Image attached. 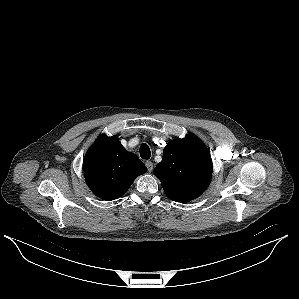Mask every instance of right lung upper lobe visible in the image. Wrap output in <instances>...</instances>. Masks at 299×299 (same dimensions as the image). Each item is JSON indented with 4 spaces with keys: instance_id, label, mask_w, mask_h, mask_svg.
Instances as JSON below:
<instances>
[{
    "instance_id": "right-lung-upper-lobe-1",
    "label": "right lung upper lobe",
    "mask_w": 299,
    "mask_h": 299,
    "mask_svg": "<svg viewBox=\"0 0 299 299\" xmlns=\"http://www.w3.org/2000/svg\"><path fill=\"white\" fill-rule=\"evenodd\" d=\"M144 163L121 145L116 136H99L88 150L83 171L89 188L101 199L114 200L126 193L135 178L145 173Z\"/></svg>"
}]
</instances>
